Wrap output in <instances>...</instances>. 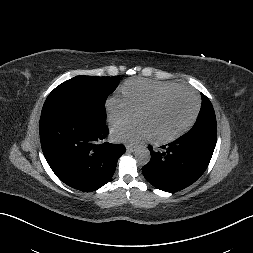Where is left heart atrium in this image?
Returning a JSON list of instances; mask_svg holds the SVG:
<instances>
[{
    "label": "left heart atrium",
    "instance_id": "left-heart-atrium-1",
    "mask_svg": "<svg viewBox=\"0 0 253 253\" xmlns=\"http://www.w3.org/2000/svg\"><path fill=\"white\" fill-rule=\"evenodd\" d=\"M112 138L117 142L138 143L153 138L149 126L139 120L130 123H118L112 128Z\"/></svg>",
    "mask_w": 253,
    "mask_h": 253
}]
</instances>
